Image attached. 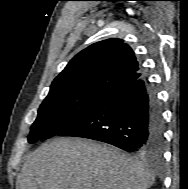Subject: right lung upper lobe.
<instances>
[{
    "label": "right lung upper lobe",
    "instance_id": "obj_1",
    "mask_svg": "<svg viewBox=\"0 0 188 189\" xmlns=\"http://www.w3.org/2000/svg\"><path fill=\"white\" fill-rule=\"evenodd\" d=\"M142 76L129 45L111 38L92 44L73 57L52 82L48 95L90 89L112 92Z\"/></svg>",
    "mask_w": 188,
    "mask_h": 189
}]
</instances>
